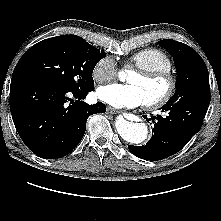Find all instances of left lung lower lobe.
<instances>
[{"label":"left lung lower lobe","mask_w":221,"mask_h":221,"mask_svg":"<svg viewBox=\"0 0 221 221\" xmlns=\"http://www.w3.org/2000/svg\"><path fill=\"white\" fill-rule=\"evenodd\" d=\"M210 98L207 94L186 102L166 104L162 107V111H168L165 118L144 116L147 121L152 120L154 135L146 145H129L130 152L142 159L157 161L180 151L200 130Z\"/></svg>","instance_id":"left-lung-lower-lobe-1"}]
</instances>
